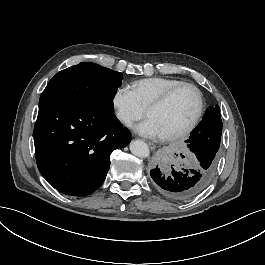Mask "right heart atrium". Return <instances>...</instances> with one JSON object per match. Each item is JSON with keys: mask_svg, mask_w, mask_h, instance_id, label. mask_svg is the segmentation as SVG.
Here are the masks:
<instances>
[{"mask_svg": "<svg viewBox=\"0 0 265 265\" xmlns=\"http://www.w3.org/2000/svg\"><path fill=\"white\" fill-rule=\"evenodd\" d=\"M134 103V96L129 91V87L126 84H121L114 90V94L111 96V107L114 110H119L121 107V113L117 115V120L127 125L135 123L136 119H140L144 116L143 107L140 104Z\"/></svg>", "mask_w": 265, "mask_h": 265, "instance_id": "1", "label": "right heart atrium"}]
</instances>
